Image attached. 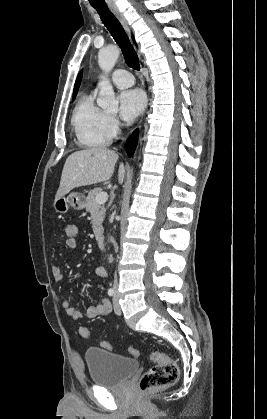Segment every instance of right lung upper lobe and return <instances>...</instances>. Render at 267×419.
I'll return each instance as SVG.
<instances>
[{"mask_svg":"<svg viewBox=\"0 0 267 419\" xmlns=\"http://www.w3.org/2000/svg\"><path fill=\"white\" fill-rule=\"evenodd\" d=\"M81 78H82V71L79 73V75L76 79L74 90H73V95H76L77 92H78V88L80 86Z\"/></svg>","mask_w":267,"mask_h":419,"instance_id":"cb5924a9","label":"right lung upper lobe"}]
</instances>
